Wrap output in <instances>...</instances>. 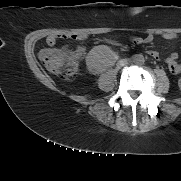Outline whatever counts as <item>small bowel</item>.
<instances>
[{
	"mask_svg": "<svg viewBox=\"0 0 181 181\" xmlns=\"http://www.w3.org/2000/svg\"><path fill=\"white\" fill-rule=\"evenodd\" d=\"M162 38L165 40H173L177 38V34L173 32H166L163 33ZM58 38L62 39H73V40H85L87 39V35L84 34H73V33H64L61 35H50L47 37L46 42L49 46H55L57 43ZM154 40V36L152 34H147L142 37H132L131 41L134 44H150ZM84 50L82 48H77L73 54L78 58L82 56ZM147 54L152 57L153 59L158 60L159 59V54L156 51L150 50L147 52ZM178 54L177 53H172L167 59L166 63L169 67L170 72L173 75H178L181 73V64L178 63L177 61ZM91 70H94V67H91Z\"/></svg>",
	"mask_w": 181,
	"mask_h": 181,
	"instance_id": "1",
	"label": "small bowel"
}]
</instances>
